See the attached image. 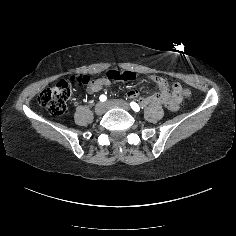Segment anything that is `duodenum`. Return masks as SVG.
I'll list each match as a JSON object with an SVG mask.
<instances>
[{"mask_svg":"<svg viewBox=\"0 0 236 236\" xmlns=\"http://www.w3.org/2000/svg\"><path fill=\"white\" fill-rule=\"evenodd\" d=\"M161 91L153 96L142 98L140 103L142 106H147L151 103H162L169 109H175L178 106L179 100L177 93H169L165 85L160 86Z\"/></svg>","mask_w":236,"mask_h":236,"instance_id":"410a0bca","label":"duodenum"}]
</instances>
